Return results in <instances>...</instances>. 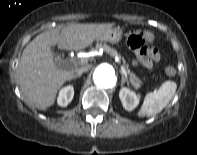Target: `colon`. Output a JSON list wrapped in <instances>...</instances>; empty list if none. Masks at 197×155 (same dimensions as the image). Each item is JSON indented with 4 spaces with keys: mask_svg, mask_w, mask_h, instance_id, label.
<instances>
[{
    "mask_svg": "<svg viewBox=\"0 0 197 155\" xmlns=\"http://www.w3.org/2000/svg\"><path fill=\"white\" fill-rule=\"evenodd\" d=\"M151 40L150 33H142L139 31H132L128 37V45L132 50L138 51L139 53H146L151 51L152 48H148L147 41ZM166 73L170 76L175 74V69L168 67Z\"/></svg>",
    "mask_w": 197,
    "mask_h": 155,
    "instance_id": "1",
    "label": "colon"
}]
</instances>
